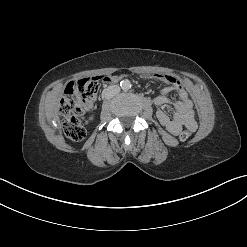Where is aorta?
<instances>
[{
	"label": "aorta",
	"mask_w": 247,
	"mask_h": 247,
	"mask_svg": "<svg viewBox=\"0 0 247 247\" xmlns=\"http://www.w3.org/2000/svg\"><path fill=\"white\" fill-rule=\"evenodd\" d=\"M120 86L122 90L128 91L131 88V82L127 79L121 81Z\"/></svg>",
	"instance_id": "obj_1"
}]
</instances>
